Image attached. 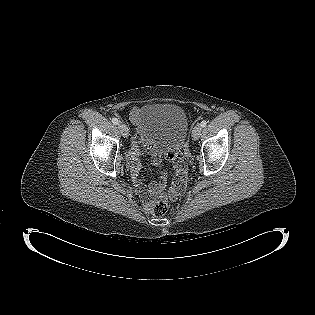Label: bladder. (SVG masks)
<instances>
[{
	"label": "bladder",
	"mask_w": 315,
	"mask_h": 315,
	"mask_svg": "<svg viewBox=\"0 0 315 315\" xmlns=\"http://www.w3.org/2000/svg\"><path fill=\"white\" fill-rule=\"evenodd\" d=\"M188 129L185 111L173 104H147L135 118L136 140L146 148L178 147L184 143Z\"/></svg>",
	"instance_id": "obj_1"
}]
</instances>
